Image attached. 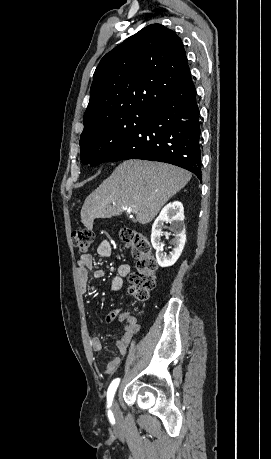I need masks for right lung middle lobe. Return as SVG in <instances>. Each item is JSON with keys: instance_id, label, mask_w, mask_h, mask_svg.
Listing matches in <instances>:
<instances>
[{"instance_id": "right-lung-middle-lobe-1", "label": "right lung middle lobe", "mask_w": 271, "mask_h": 459, "mask_svg": "<svg viewBox=\"0 0 271 459\" xmlns=\"http://www.w3.org/2000/svg\"><path fill=\"white\" fill-rule=\"evenodd\" d=\"M154 110L153 106L139 105L85 122L80 137L82 163L96 166L106 162Z\"/></svg>"}]
</instances>
